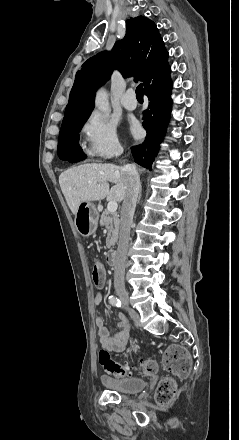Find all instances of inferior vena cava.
Listing matches in <instances>:
<instances>
[{
	"instance_id": "inferior-vena-cava-1",
	"label": "inferior vena cava",
	"mask_w": 239,
	"mask_h": 440,
	"mask_svg": "<svg viewBox=\"0 0 239 440\" xmlns=\"http://www.w3.org/2000/svg\"><path fill=\"white\" fill-rule=\"evenodd\" d=\"M120 154H122V152L118 150L117 156H120ZM121 170L124 172L125 176L126 194L121 210L119 242L114 266V288L115 292H118L119 296H124V293L119 292H125V262L128 250L130 228L136 208L140 182L135 166L127 164V166H122ZM120 299L122 306L126 307L127 300L125 298Z\"/></svg>"
}]
</instances>
